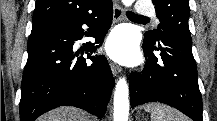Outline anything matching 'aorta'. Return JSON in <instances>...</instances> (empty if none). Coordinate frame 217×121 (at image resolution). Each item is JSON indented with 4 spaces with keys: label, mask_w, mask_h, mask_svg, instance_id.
Returning <instances> with one entry per match:
<instances>
[{
    "label": "aorta",
    "mask_w": 217,
    "mask_h": 121,
    "mask_svg": "<svg viewBox=\"0 0 217 121\" xmlns=\"http://www.w3.org/2000/svg\"><path fill=\"white\" fill-rule=\"evenodd\" d=\"M134 0H122L129 7ZM129 115V88L125 78H120L114 92V121H128Z\"/></svg>",
    "instance_id": "obj_1"
}]
</instances>
